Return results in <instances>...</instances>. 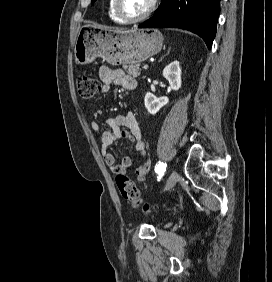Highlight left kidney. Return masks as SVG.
Wrapping results in <instances>:
<instances>
[{
  "instance_id": "obj_1",
  "label": "left kidney",
  "mask_w": 272,
  "mask_h": 282,
  "mask_svg": "<svg viewBox=\"0 0 272 282\" xmlns=\"http://www.w3.org/2000/svg\"><path fill=\"white\" fill-rule=\"evenodd\" d=\"M181 67L179 61H173L163 70V77L168 80L172 90L177 91L181 87ZM145 107L148 113L154 115L163 106L169 103V98L166 96L157 98L154 94L148 92L144 98Z\"/></svg>"
}]
</instances>
